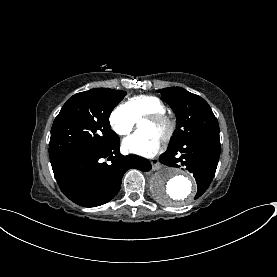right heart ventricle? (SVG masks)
Listing matches in <instances>:
<instances>
[{
	"label": "right heart ventricle",
	"mask_w": 277,
	"mask_h": 277,
	"mask_svg": "<svg viewBox=\"0 0 277 277\" xmlns=\"http://www.w3.org/2000/svg\"><path fill=\"white\" fill-rule=\"evenodd\" d=\"M135 121L142 118L149 112H165V105L157 97L149 95L135 96L126 103L125 105Z\"/></svg>",
	"instance_id": "right-heart-ventricle-1"
}]
</instances>
